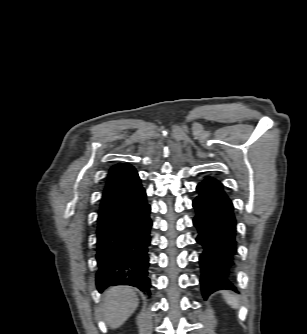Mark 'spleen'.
I'll list each match as a JSON object with an SVG mask.
<instances>
[{"instance_id": "3e777b00", "label": "spleen", "mask_w": 307, "mask_h": 334, "mask_svg": "<svg viewBox=\"0 0 307 334\" xmlns=\"http://www.w3.org/2000/svg\"><path fill=\"white\" fill-rule=\"evenodd\" d=\"M223 297L230 306H232L233 308L238 307L239 301L236 295L231 294L229 292H224Z\"/></svg>"}]
</instances>
